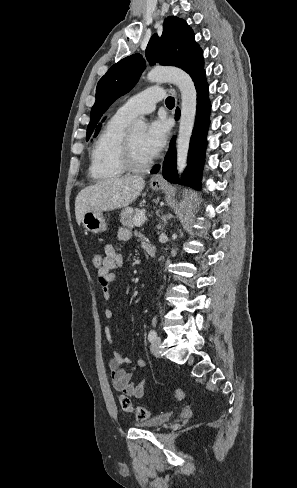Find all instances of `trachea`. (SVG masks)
Instances as JSON below:
<instances>
[{
  "mask_svg": "<svg viewBox=\"0 0 297 488\" xmlns=\"http://www.w3.org/2000/svg\"><path fill=\"white\" fill-rule=\"evenodd\" d=\"M165 103L167 107H173L175 104V100L173 97H167Z\"/></svg>",
  "mask_w": 297,
  "mask_h": 488,
  "instance_id": "1",
  "label": "trachea"
}]
</instances>
